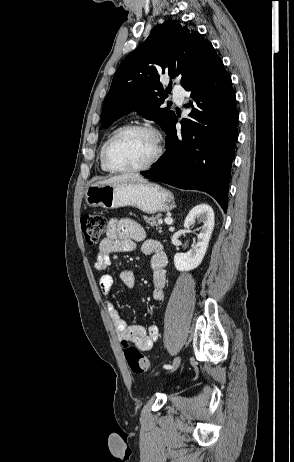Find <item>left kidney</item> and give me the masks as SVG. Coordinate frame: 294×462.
<instances>
[{"label":"left kidney","instance_id":"obj_1","mask_svg":"<svg viewBox=\"0 0 294 462\" xmlns=\"http://www.w3.org/2000/svg\"><path fill=\"white\" fill-rule=\"evenodd\" d=\"M196 220L203 223L201 232L197 235V243L187 253H177L174 265L178 271H189L197 268L207 251L214 228V211L207 204H199L191 209L184 221V227L189 229Z\"/></svg>","mask_w":294,"mask_h":462}]
</instances>
